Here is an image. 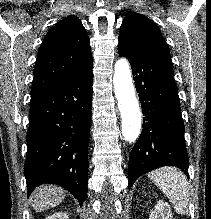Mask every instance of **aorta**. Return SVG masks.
I'll list each match as a JSON object with an SVG mask.
<instances>
[{"label": "aorta", "mask_w": 211, "mask_h": 219, "mask_svg": "<svg viewBox=\"0 0 211 219\" xmlns=\"http://www.w3.org/2000/svg\"><path fill=\"white\" fill-rule=\"evenodd\" d=\"M114 71L113 85L122 118V135L132 143L139 137L142 120L128 61L119 59Z\"/></svg>", "instance_id": "762f6f07"}]
</instances>
